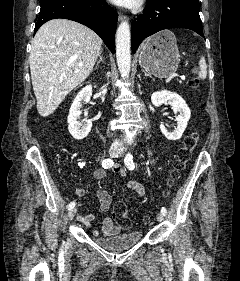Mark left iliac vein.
<instances>
[{
    "label": "left iliac vein",
    "mask_w": 240,
    "mask_h": 281,
    "mask_svg": "<svg viewBox=\"0 0 240 281\" xmlns=\"http://www.w3.org/2000/svg\"><path fill=\"white\" fill-rule=\"evenodd\" d=\"M123 152H124L123 148L119 149V152L117 153V155H115V157H120V156H122V155H123ZM163 219H164V215H163L162 213H158V214H157V220H158V222H162Z\"/></svg>",
    "instance_id": "1"
}]
</instances>
